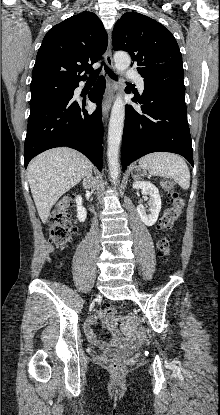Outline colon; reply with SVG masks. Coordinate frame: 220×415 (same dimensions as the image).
Listing matches in <instances>:
<instances>
[{
    "label": "colon",
    "instance_id": "1",
    "mask_svg": "<svg viewBox=\"0 0 220 415\" xmlns=\"http://www.w3.org/2000/svg\"><path fill=\"white\" fill-rule=\"evenodd\" d=\"M161 185L170 198L171 206L164 211L160 219L159 226L165 235L158 241L157 246L162 257L167 259L171 253L172 245V238L169 232L182 212L184 201L177 193L173 181L164 179ZM74 208L75 198L73 195H70L59 200L50 213L48 220L50 239L58 248L63 249L72 242L75 228L69 223V216ZM117 314L115 307L108 306L105 308V315L109 319H114ZM112 366L116 370L123 369V365L119 362L114 363Z\"/></svg>",
    "mask_w": 220,
    "mask_h": 415
}]
</instances>
